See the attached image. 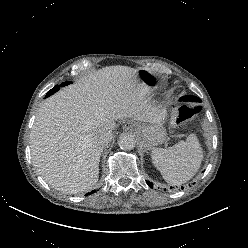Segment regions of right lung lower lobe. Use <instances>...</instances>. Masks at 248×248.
<instances>
[{
  "label": "right lung lower lobe",
  "mask_w": 248,
  "mask_h": 248,
  "mask_svg": "<svg viewBox=\"0 0 248 248\" xmlns=\"http://www.w3.org/2000/svg\"><path fill=\"white\" fill-rule=\"evenodd\" d=\"M95 191H92V192H90V193H88V194H86V195H90V194H92V193H94Z\"/></svg>",
  "instance_id": "1"
}]
</instances>
